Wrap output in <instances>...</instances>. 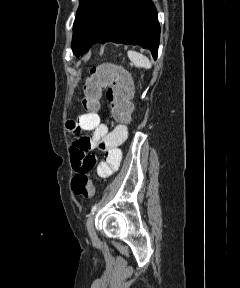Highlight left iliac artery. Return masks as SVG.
I'll list each match as a JSON object with an SVG mask.
<instances>
[{"instance_id": "obj_1", "label": "left iliac artery", "mask_w": 240, "mask_h": 288, "mask_svg": "<svg viewBox=\"0 0 240 288\" xmlns=\"http://www.w3.org/2000/svg\"><path fill=\"white\" fill-rule=\"evenodd\" d=\"M96 208H97V204H94L91 209V214L95 212Z\"/></svg>"}]
</instances>
